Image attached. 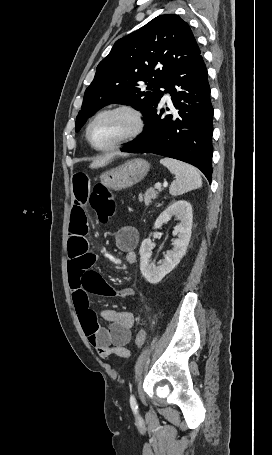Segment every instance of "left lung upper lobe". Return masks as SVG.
Listing matches in <instances>:
<instances>
[{
    "label": "left lung upper lobe",
    "instance_id": "left-lung-upper-lobe-1",
    "mask_svg": "<svg viewBox=\"0 0 272 455\" xmlns=\"http://www.w3.org/2000/svg\"><path fill=\"white\" fill-rule=\"evenodd\" d=\"M201 55L189 25L179 16L160 15L115 42L97 66L76 118L78 132L97 110L131 105L148 118L174 72Z\"/></svg>",
    "mask_w": 272,
    "mask_h": 455
}]
</instances>
